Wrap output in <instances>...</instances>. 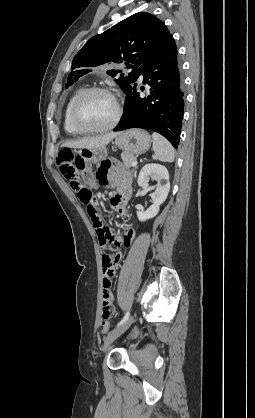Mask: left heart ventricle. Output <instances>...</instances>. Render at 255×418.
Instances as JSON below:
<instances>
[{"mask_svg": "<svg viewBox=\"0 0 255 418\" xmlns=\"http://www.w3.org/2000/svg\"><path fill=\"white\" fill-rule=\"evenodd\" d=\"M115 114V103L106 94L93 93L81 104L79 121L88 127H102L111 122Z\"/></svg>", "mask_w": 255, "mask_h": 418, "instance_id": "obj_1", "label": "left heart ventricle"}]
</instances>
